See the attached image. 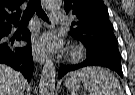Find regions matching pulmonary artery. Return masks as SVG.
<instances>
[{
    "mask_svg": "<svg viewBox=\"0 0 135 95\" xmlns=\"http://www.w3.org/2000/svg\"><path fill=\"white\" fill-rule=\"evenodd\" d=\"M63 19H64V15L59 10H53L51 12V22L53 24H60L63 22Z\"/></svg>",
    "mask_w": 135,
    "mask_h": 95,
    "instance_id": "obj_1",
    "label": "pulmonary artery"
}]
</instances>
